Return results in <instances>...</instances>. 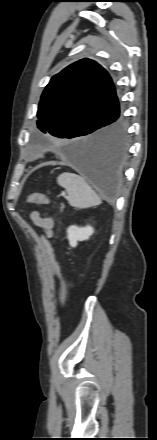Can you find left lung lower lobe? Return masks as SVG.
I'll return each mask as SVG.
<instances>
[{
	"mask_svg": "<svg viewBox=\"0 0 157 440\" xmlns=\"http://www.w3.org/2000/svg\"><path fill=\"white\" fill-rule=\"evenodd\" d=\"M71 163L102 192L112 194L119 182L128 150L127 123L120 110L98 133L82 143L66 145Z\"/></svg>",
	"mask_w": 157,
	"mask_h": 440,
	"instance_id": "0a47b994",
	"label": "left lung lower lobe"
}]
</instances>
